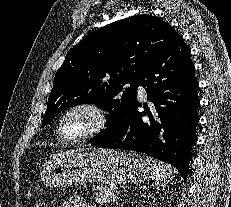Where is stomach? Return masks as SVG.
Segmentation results:
<instances>
[{"instance_id":"stomach-1","label":"stomach","mask_w":231,"mask_h":207,"mask_svg":"<svg viewBox=\"0 0 231 207\" xmlns=\"http://www.w3.org/2000/svg\"><path fill=\"white\" fill-rule=\"evenodd\" d=\"M150 167L140 156L120 150H70L48 162L41 180L56 188L86 183H140L148 177Z\"/></svg>"}]
</instances>
